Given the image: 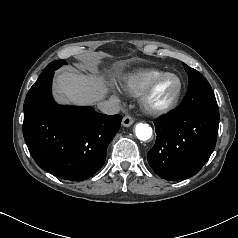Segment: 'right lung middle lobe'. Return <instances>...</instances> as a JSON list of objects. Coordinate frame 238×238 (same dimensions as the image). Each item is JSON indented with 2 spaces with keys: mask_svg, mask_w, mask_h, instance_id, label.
<instances>
[{
  "mask_svg": "<svg viewBox=\"0 0 238 238\" xmlns=\"http://www.w3.org/2000/svg\"><path fill=\"white\" fill-rule=\"evenodd\" d=\"M62 64H66V62L64 60H57L48 64V66L44 70H48V69L55 70L59 68Z\"/></svg>",
  "mask_w": 238,
  "mask_h": 238,
  "instance_id": "dd1d6c3e",
  "label": "right lung middle lobe"
}]
</instances>
